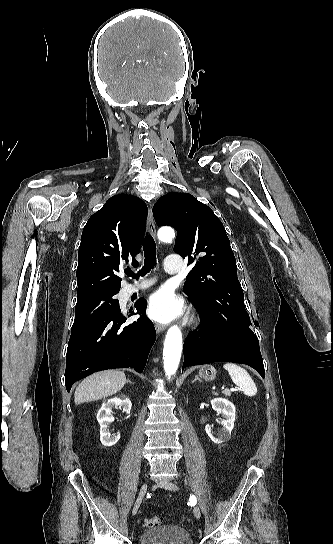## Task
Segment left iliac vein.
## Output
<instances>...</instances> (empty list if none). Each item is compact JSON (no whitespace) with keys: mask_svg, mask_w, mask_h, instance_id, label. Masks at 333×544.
<instances>
[{"mask_svg":"<svg viewBox=\"0 0 333 544\" xmlns=\"http://www.w3.org/2000/svg\"><path fill=\"white\" fill-rule=\"evenodd\" d=\"M157 485H158L159 487H161V488L166 489V490H171V491H172V490H173V491L178 490V487H177L174 483H172V482H170V481H168V480L158 481V482H157ZM193 512H194V515H195V517H196L197 519H199V518L201 517V512H200V509H199L198 506H195V507H194Z\"/></svg>","mask_w":333,"mask_h":544,"instance_id":"left-iliac-vein-1","label":"left iliac vein"}]
</instances>
